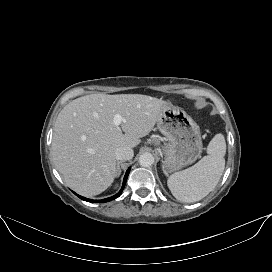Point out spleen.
<instances>
[{
    "mask_svg": "<svg viewBox=\"0 0 272 272\" xmlns=\"http://www.w3.org/2000/svg\"><path fill=\"white\" fill-rule=\"evenodd\" d=\"M208 155L194 166L172 174L167 181L173 196L181 202H196L207 196L218 184L225 168L226 143L216 134L207 147Z\"/></svg>",
    "mask_w": 272,
    "mask_h": 272,
    "instance_id": "spleen-1",
    "label": "spleen"
}]
</instances>
